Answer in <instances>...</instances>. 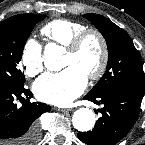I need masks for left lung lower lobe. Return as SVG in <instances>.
<instances>
[{
  "instance_id": "left-lung-lower-lobe-1",
  "label": "left lung lower lobe",
  "mask_w": 145,
  "mask_h": 145,
  "mask_svg": "<svg viewBox=\"0 0 145 145\" xmlns=\"http://www.w3.org/2000/svg\"><path fill=\"white\" fill-rule=\"evenodd\" d=\"M84 99L103 104L102 113L92 131L79 132V139L88 145H114L126 136L135 124L142 94L118 89L99 96L87 94Z\"/></svg>"
}]
</instances>
